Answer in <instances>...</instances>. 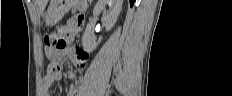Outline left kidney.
I'll return each instance as SVG.
<instances>
[{"mask_svg":"<svg viewBox=\"0 0 232 96\" xmlns=\"http://www.w3.org/2000/svg\"><path fill=\"white\" fill-rule=\"evenodd\" d=\"M122 4L123 0H98L93 9V15L98 16L101 12H103L102 17L106 21L105 28L108 31L115 25L122 8ZM106 5L110 6L109 12L105 11ZM92 27V23L87 24L82 36L83 48L89 53L96 49L98 43L102 39L99 38V40L96 41V37L93 33Z\"/></svg>","mask_w":232,"mask_h":96,"instance_id":"obj_1","label":"left kidney"}]
</instances>
